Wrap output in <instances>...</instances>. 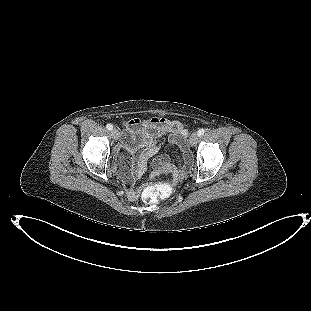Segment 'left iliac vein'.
<instances>
[{"instance_id": "left-iliac-vein-1", "label": "left iliac vein", "mask_w": 311, "mask_h": 311, "mask_svg": "<svg viewBox=\"0 0 311 311\" xmlns=\"http://www.w3.org/2000/svg\"><path fill=\"white\" fill-rule=\"evenodd\" d=\"M198 139H199V135L197 132H193L191 135H190V138H189V143L191 146H195L198 142Z\"/></svg>"}]
</instances>
